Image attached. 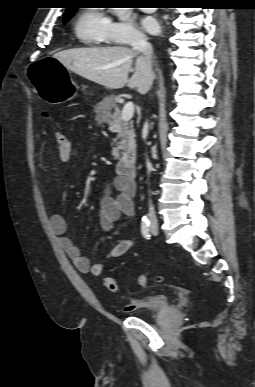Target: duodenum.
Instances as JSON below:
<instances>
[{"mask_svg":"<svg viewBox=\"0 0 255 387\" xmlns=\"http://www.w3.org/2000/svg\"><path fill=\"white\" fill-rule=\"evenodd\" d=\"M117 172L119 176L126 182L133 184L134 179L137 176V163L134 157H125L121 159L117 166Z\"/></svg>","mask_w":255,"mask_h":387,"instance_id":"obj_1","label":"duodenum"}]
</instances>
